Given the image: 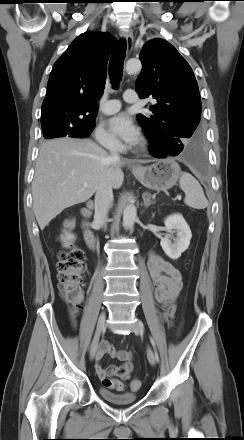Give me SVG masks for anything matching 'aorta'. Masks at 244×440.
<instances>
[{
	"mask_svg": "<svg viewBox=\"0 0 244 440\" xmlns=\"http://www.w3.org/2000/svg\"><path fill=\"white\" fill-rule=\"evenodd\" d=\"M142 68L139 60H129L126 63V71L129 73L139 72ZM137 217V209L135 205L128 204L123 212V225L126 229L133 227L135 219Z\"/></svg>",
	"mask_w": 244,
	"mask_h": 440,
	"instance_id": "762f6f07",
	"label": "aorta"
}]
</instances>
